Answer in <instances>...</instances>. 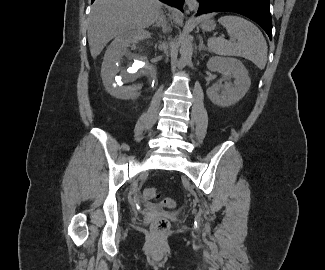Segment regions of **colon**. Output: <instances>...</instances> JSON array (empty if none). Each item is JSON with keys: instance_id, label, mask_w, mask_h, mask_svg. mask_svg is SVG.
Segmentation results:
<instances>
[{"instance_id": "1", "label": "colon", "mask_w": 325, "mask_h": 270, "mask_svg": "<svg viewBox=\"0 0 325 270\" xmlns=\"http://www.w3.org/2000/svg\"><path fill=\"white\" fill-rule=\"evenodd\" d=\"M143 195L146 199L159 198L157 189L153 187L146 188ZM161 204L167 208H173L175 206V202L171 198L162 199ZM169 226V221L166 218H159L153 222L152 229L156 233H164L169 229Z\"/></svg>"}]
</instances>
